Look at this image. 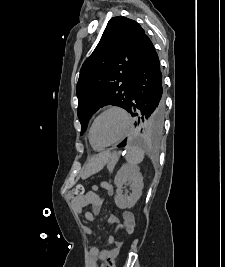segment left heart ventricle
<instances>
[{
  "label": "left heart ventricle",
  "mask_w": 225,
  "mask_h": 267,
  "mask_svg": "<svg viewBox=\"0 0 225 267\" xmlns=\"http://www.w3.org/2000/svg\"><path fill=\"white\" fill-rule=\"evenodd\" d=\"M125 120L118 112H108L101 116L93 130V138L96 144L102 145L114 141L123 132Z\"/></svg>",
  "instance_id": "obj_1"
}]
</instances>
